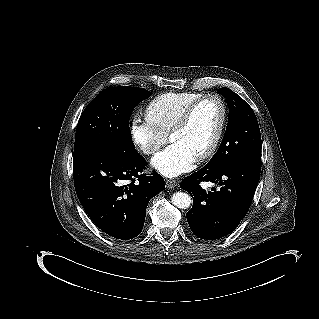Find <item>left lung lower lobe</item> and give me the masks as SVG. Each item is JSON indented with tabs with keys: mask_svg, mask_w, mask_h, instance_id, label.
I'll return each instance as SVG.
<instances>
[{
	"mask_svg": "<svg viewBox=\"0 0 319 319\" xmlns=\"http://www.w3.org/2000/svg\"><path fill=\"white\" fill-rule=\"evenodd\" d=\"M260 171L261 157H251L230 164L205 165L184 178L180 186L194 196L195 202L187 213L192 232L209 240L231 233L251 205ZM201 182L215 183L221 188L206 191Z\"/></svg>",
	"mask_w": 319,
	"mask_h": 319,
	"instance_id": "0a47b994",
	"label": "left lung lower lobe"
}]
</instances>
